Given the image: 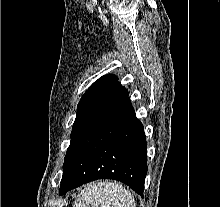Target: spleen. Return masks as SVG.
<instances>
[{"instance_id":"1","label":"spleen","mask_w":220,"mask_h":207,"mask_svg":"<svg viewBox=\"0 0 220 207\" xmlns=\"http://www.w3.org/2000/svg\"><path fill=\"white\" fill-rule=\"evenodd\" d=\"M73 207H136L133 195L122 185L99 181L85 187Z\"/></svg>"}]
</instances>
